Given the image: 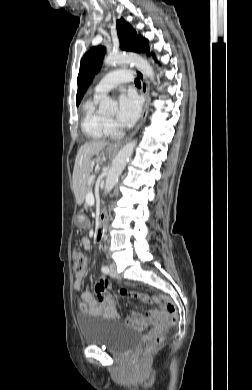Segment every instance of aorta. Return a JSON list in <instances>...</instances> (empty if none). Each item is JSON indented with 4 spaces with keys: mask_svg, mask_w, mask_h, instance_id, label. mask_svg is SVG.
<instances>
[{
    "mask_svg": "<svg viewBox=\"0 0 252 390\" xmlns=\"http://www.w3.org/2000/svg\"><path fill=\"white\" fill-rule=\"evenodd\" d=\"M106 65L114 64H131L139 69L144 75H146L150 80H154V71L150 66L149 62L143 57L133 54V53H124V54H110L104 59ZM117 108L116 101L112 100L110 97H103L99 104V109L101 111H109ZM137 144L136 140H133L127 143L117 154L116 158L113 161V164L107 174L104 191L108 194L118 182L119 176L124 170L127 162L131 158L134 148Z\"/></svg>",
    "mask_w": 252,
    "mask_h": 390,
    "instance_id": "762f6f07",
    "label": "aorta"
}]
</instances>
